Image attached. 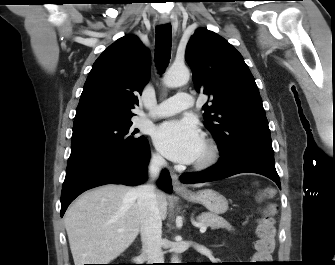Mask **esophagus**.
<instances>
[{
  "mask_svg": "<svg viewBox=\"0 0 335 265\" xmlns=\"http://www.w3.org/2000/svg\"><path fill=\"white\" fill-rule=\"evenodd\" d=\"M160 23L161 24H168L170 19L167 15H162L160 17ZM171 178H172V184H173V189L175 192H185L187 191L186 187H184L180 181H179V176L175 172H171Z\"/></svg>",
  "mask_w": 335,
  "mask_h": 265,
  "instance_id": "esophagus-1",
  "label": "esophagus"
}]
</instances>
